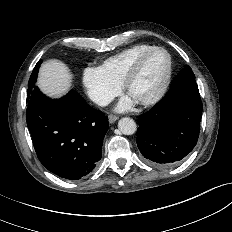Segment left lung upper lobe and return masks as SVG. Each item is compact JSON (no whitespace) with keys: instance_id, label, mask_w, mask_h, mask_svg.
<instances>
[{"instance_id":"1","label":"left lung upper lobe","mask_w":232,"mask_h":232,"mask_svg":"<svg viewBox=\"0 0 232 232\" xmlns=\"http://www.w3.org/2000/svg\"><path fill=\"white\" fill-rule=\"evenodd\" d=\"M173 82L185 91H199L195 81V75L191 68L186 65L184 69L174 78Z\"/></svg>"}]
</instances>
